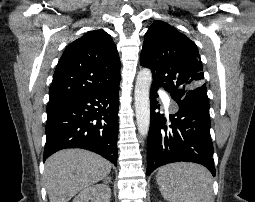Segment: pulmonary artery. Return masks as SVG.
<instances>
[{"label": "pulmonary artery", "instance_id": "obj_1", "mask_svg": "<svg viewBox=\"0 0 255 202\" xmlns=\"http://www.w3.org/2000/svg\"><path fill=\"white\" fill-rule=\"evenodd\" d=\"M165 105L169 107V109L174 112L176 110L175 105H173L168 99H165Z\"/></svg>", "mask_w": 255, "mask_h": 202}]
</instances>
